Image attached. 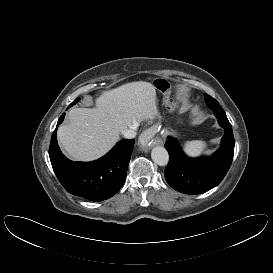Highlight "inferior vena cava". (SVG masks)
I'll return each instance as SVG.
<instances>
[{"mask_svg": "<svg viewBox=\"0 0 273 273\" xmlns=\"http://www.w3.org/2000/svg\"><path fill=\"white\" fill-rule=\"evenodd\" d=\"M139 124H135L131 126L130 128L124 130L122 132L123 136L127 139H132L136 136V129L138 128Z\"/></svg>", "mask_w": 273, "mask_h": 273, "instance_id": "602c4592", "label": "inferior vena cava"}]
</instances>
